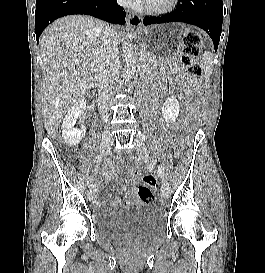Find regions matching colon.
<instances>
[{
    "instance_id": "colon-1",
    "label": "colon",
    "mask_w": 265,
    "mask_h": 273,
    "mask_svg": "<svg viewBox=\"0 0 265 273\" xmlns=\"http://www.w3.org/2000/svg\"><path fill=\"white\" fill-rule=\"evenodd\" d=\"M201 38L197 33H189L185 36L181 60L182 63L188 68V70L198 76L203 74L202 67L196 62V58L200 53ZM131 175L136 176L137 171L130 170ZM138 196L144 203L151 204L155 202L156 195L152 186L149 184H141L138 187Z\"/></svg>"
}]
</instances>
